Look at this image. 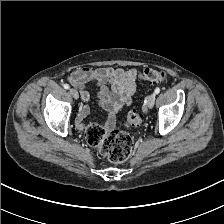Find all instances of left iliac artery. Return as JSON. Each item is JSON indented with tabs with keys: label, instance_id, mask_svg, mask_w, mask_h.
I'll list each match as a JSON object with an SVG mask.
<instances>
[{
	"label": "left iliac artery",
	"instance_id": "44dca946",
	"mask_svg": "<svg viewBox=\"0 0 224 224\" xmlns=\"http://www.w3.org/2000/svg\"><path fill=\"white\" fill-rule=\"evenodd\" d=\"M154 93H155V94H159V93H160V88L157 87V88L155 89Z\"/></svg>",
	"mask_w": 224,
	"mask_h": 224
}]
</instances>
